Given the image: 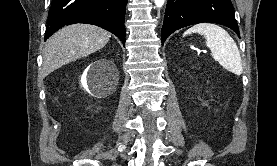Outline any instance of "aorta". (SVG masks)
I'll list each match as a JSON object with an SVG mask.
<instances>
[{"label": "aorta", "mask_w": 277, "mask_h": 166, "mask_svg": "<svg viewBox=\"0 0 277 166\" xmlns=\"http://www.w3.org/2000/svg\"><path fill=\"white\" fill-rule=\"evenodd\" d=\"M156 7H162L165 0H154Z\"/></svg>", "instance_id": "aorta-1"}]
</instances>
